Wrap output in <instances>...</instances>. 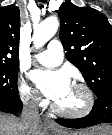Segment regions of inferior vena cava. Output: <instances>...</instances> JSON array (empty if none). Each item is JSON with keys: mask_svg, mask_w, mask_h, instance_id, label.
I'll list each match as a JSON object with an SVG mask.
<instances>
[{"mask_svg": "<svg viewBox=\"0 0 112 135\" xmlns=\"http://www.w3.org/2000/svg\"><path fill=\"white\" fill-rule=\"evenodd\" d=\"M39 114L37 107V100H32L27 103L22 111L21 125L26 130L34 131L39 124Z\"/></svg>", "mask_w": 112, "mask_h": 135, "instance_id": "1", "label": "inferior vena cava"}]
</instances>
